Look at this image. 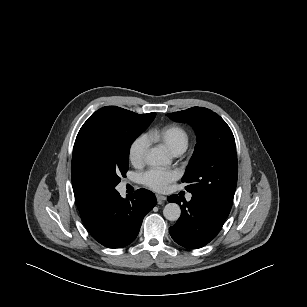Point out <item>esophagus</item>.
Instances as JSON below:
<instances>
[{
    "label": "esophagus",
    "instance_id": "34e87169",
    "mask_svg": "<svg viewBox=\"0 0 307 307\" xmlns=\"http://www.w3.org/2000/svg\"><path fill=\"white\" fill-rule=\"evenodd\" d=\"M156 199H157V202L160 204L166 200V196L157 194Z\"/></svg>",
    "mask_w": 307,
    "mask_h": 307
}]
</instances>
